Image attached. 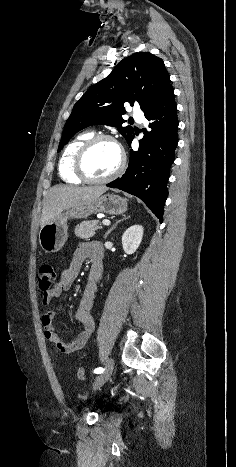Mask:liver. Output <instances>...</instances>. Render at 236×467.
Masks as SVG:
<instances>
[{
	"label": "liver",
	"mask_w": 236,
	"mask_h": 467,
	"mask_svg": "<svg viewBox=\"0 0 236 467\" xmlns=\"http://www.w3.org/2000/svg\"><path fill=\"white\" fill-rule=\"evenodd\" d=\"M107 191L104 186L75 187L54 186L44 204L40 219L41 228L53 220L64 210L71 207L89 204Z\"/></svg>",
	"instance_id": "6515ba94"
}]
</instances>
